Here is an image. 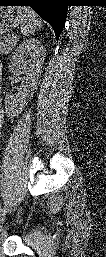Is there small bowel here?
Segmentation results:
<instances>
[{"mask_svg":"<svg viewBox=\"0 0 106 257\" xmlns=\"http://www.w3.org/2000/svg\"><path fill=\"white\" fill-rule=\"evenodd\" d=\"M1 113H2V112H1ZM1 115H2V114H1ZM0 117H1V120H0V121H1V123H2V121H3V118H2V116H0Z\"/></svg>","mask_w":106,"mask_h":257,"instance_id":"obj_1","label":"small bowel"}]
</instances>
